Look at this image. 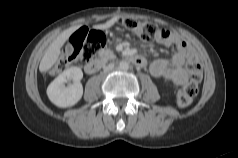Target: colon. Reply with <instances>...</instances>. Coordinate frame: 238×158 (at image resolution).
<instances>
[{
  "instance_id": "colon-1",
  "label": "colon",
  "mask_w": 238,
  "mask_h": 158,
  "mask_svg": "<svg viewBox=\"0 0 238 158\" xmlns=\"http://www.w3.org/2000/svg\"><path fill=\"white\" fill-rule=\"evenodd\" d=\"M120 24L136 35L142 41H158L169 36L170 32L158 25L146 21H140L133 18L120 20ZM105 43L104 34L100 31L87 30L81 28L69 38L67 46L50 73L55 74L64 70L75 61L89 62L98 49ZM190 74V81L180 88L176 95L177 104L180 107L189 106L198 93L199 83L202 79V66L194 56L190 57L186 64Z\"/></svg>"
}]
</instances>
